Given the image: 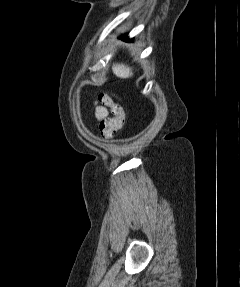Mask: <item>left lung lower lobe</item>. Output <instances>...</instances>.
Masks as SVG:
<instances>
[{"mask_svg": "<svg viewBox=\"0 0 240 287\" xmlns=\"http://www.w3.org/2000/svg\"><path fill=\"white\" fill-rule=\"evenodd\" d=\"M120 39L125 40V41H129V42H132V40L129 39L126 35H122V36L120 37Z\"/></svg>", "mask_w": 240, "mask_h": 287, "instance_id": "1", "label": "left lung lower lobe"}]
</instances>
